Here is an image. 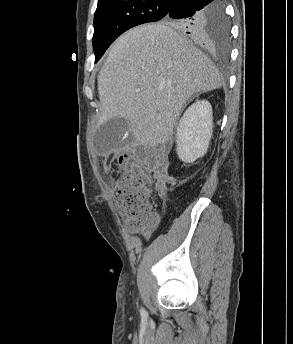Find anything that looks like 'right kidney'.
Masks as SVG:
<instances>
[{"label":"right kidney","mask_w":293,"mask_h":344,"mask_svg":"<svg viewBox=\"0 0 293 344\" xmlns=\"http://www.w3.org/2000/svg\"><path fill=\"white\" fill-rule=\"evenodd\" d=\"M212 107L207 100H197L183 114L176 133L177 155L184 163H192L208 149L212 136Z\"/></svg>","instance_id":"obj_1"}]
</instances>
